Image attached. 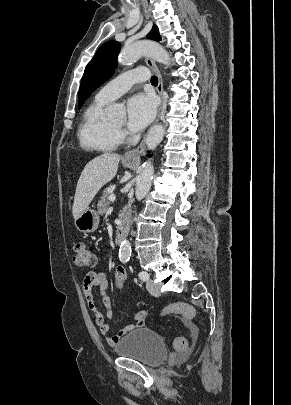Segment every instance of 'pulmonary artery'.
I'll use <instances>...</instances> for the list:
<instances>
[{
	"instance_id": "pulmonary-artery-1",
	"label": "pulmonary artery",
	"mask_w": 291,
	"mask_h": 405,
	"mask_svg": "<svg viewBox=\"0 0 291 405\" xmlns=\"http://www.w3.org/2000/svg\"><path fill=\"white\" fill-rule=\"evenodd\" d=\"M148 79L149 71L145 68L126 71L104 85L96 97L110 102L127 92L135 83L144 82Z\"/></svg>"
}]
</instances>
